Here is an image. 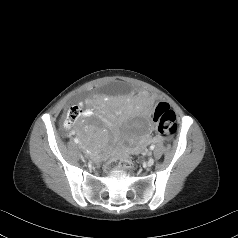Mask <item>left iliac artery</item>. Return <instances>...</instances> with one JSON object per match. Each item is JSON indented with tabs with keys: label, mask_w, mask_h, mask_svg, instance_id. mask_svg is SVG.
I'll list each match as a JSON object with an SVG mask.
<instances>
[{
	"label": "left iliac artery",
	"mask_w": 238,
	"mask_h": 238,
	"mask_svg": "<svg viewBox=\"0 0 238 238\" xmlns=\"http://www.w3.org/2000/svg\"><path fill=\"white\" fill-rule=\"evenodd\" d=\"M154 148H155V145L152 144V145L150 146V150H154Z\"/></svg>",
	"instance_id": "left-iliac-artery-1"
}]
</instances>
